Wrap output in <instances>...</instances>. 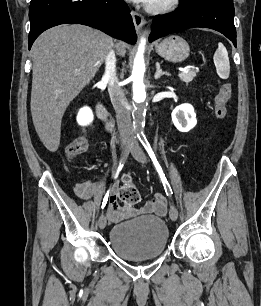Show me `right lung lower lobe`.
I'll list each match as a JSON object with an SVG mask.
<instances>
[{
  "label": "right lung lower lobe",
  "mask_w": 261,
  "mask_h": 306,
  "mask_svg": "<svg viewBox=\"0 0 261 306\" xmlns=\"http://www.w3.org/2000/svg\"><path fill=\"white\" fill-rule=\"evenodd\" d=\"M29 19V49L43 31L66 23L94 27L130 44L137 39L124 0H31Z\"/></svg>",
  "instance_id": "obj_1"
}]
</instances>
